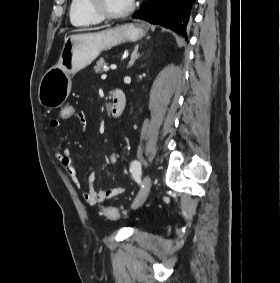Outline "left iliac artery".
I'll use <instances>...</instances> for the list:
<instances>
[{
	"label": "left iliac artery",
	"mask_w": 280,
	"mask_h": 283,
	"mask_svg": "<svg viewBox=\"0 0 280 283\" xmlns=\"http://www.w3.org/2000/svg\"><path fill=\"white\" fill-rule=\"evenodd\" d=\"M130 172L138 184H141V163L134 160L130 166Z\"/></svg>",
	"instance_id": "obj_1"
}]
</instances>
